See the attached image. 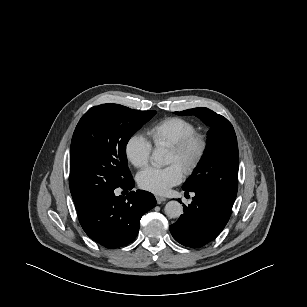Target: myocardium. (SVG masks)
Masks as SVG:
<instances>
[{
    "label": "myocardium",
    "instance_id": "1",
    "mask_svg": "<svg viewBox=\"0 0 307 307\" xmlns=\"http://www.w3.org/2000/svg\"><path fill=\"white\" fill-rule=\"evenodd\" d=\"M207 145V139L203 134L193 132L169 147V151L180 158L183 171L191 174L204 158Z\"/></svg>",
    "mask_w": 307,
    "mask_h": 307
}]
</instances>
